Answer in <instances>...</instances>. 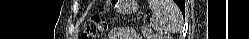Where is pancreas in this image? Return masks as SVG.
Wrapping results in <instances>:
<instances>
[{"label": "pancreas", "instance_id": "1", "mask_svg": "<svg viewBox=\"0 0 249 39\" xmlns=\"http://www.w3.org/2000/svg\"><path fill=\"white\" fill-rule=\"evenodd\" d=\"M141 31L144 36H149V30L147 28L142 27Z\"/></svg>", "mask_w": 249, "mask_h": 39}]
</instances>
